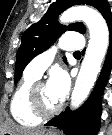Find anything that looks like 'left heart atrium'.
<instances>
[{"mask_svg":"<svg viewBox=\"0 0 112 135\" xmlns=\"http://www.w3.org/2000/svg\"><path fill=\"white\" fill-rule=\"evenodd\" d=\"M70 80L63 69H55L51 72L47 86L52 96L61 101L69 90Z\"/></svg>","mask_w":112,"mask_h":135,"instance_id":"obj_1","label":"left heart atrium"}]
</instances>
